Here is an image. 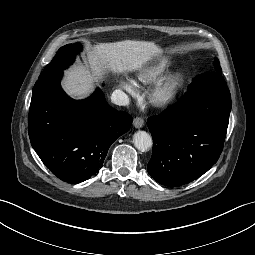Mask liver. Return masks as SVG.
<instances>
[{
  "instance_id": "obj_1",
  "label": "liver",
  "mask_w": 255,
  "mask_h": 255,
  "mask_svg": "<svg viewBox=\"0 0 255 255\" xmlns=\"http://www.w3.org/2000/svg\"><path fill=\"white\" fill-rule=\"evenodd\" d=\"M161 53L158 45L147 41L124 40L89 45L85 65L78 63L65 71L62 87L73 98H85L92 93L95 82L109 70L115 73L140 70Z\"/></svg>"
}]
</instances>
